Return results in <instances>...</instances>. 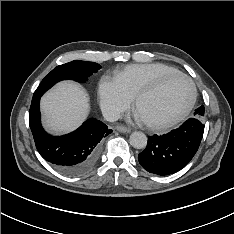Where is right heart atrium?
I'll use <instances>...</instances> for the list:
<instances>
[{
  "mask_svg": "<svg viewBox=\"0 0 234 234\" xmlns=\"http://www.w3.org/2000/svg\"><path fill=\"white\" fill-rule=\"evenodd\" d=\"M98 91L102 110L110 118H118L132 103L116 77L103 76Z\"/></svg>",
  "mask_w": 234,
  "mask_h": 234,
  "instance_id": "obj_1",
  "label": "right heart atrium"
}]
</instances>
